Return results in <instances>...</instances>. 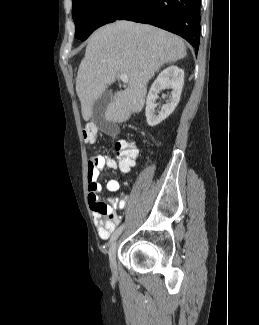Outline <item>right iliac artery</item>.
<instances>
[{"instance_id":"1","label":"right iliac artery","mask_w":259,"mask_h":325,"mask_svg":"<svg viewBox=\"0 0 259 325\" xmlns=\"http://www.w3.org/2000/svg\"><path fill=\"white\" fill-rule=\"evenodd\" d=\"M124 225H121L120 227H118L115 232L112 234L111 238H110V243L113 242L122 232Z\"/></svg>"}]
</instances>
